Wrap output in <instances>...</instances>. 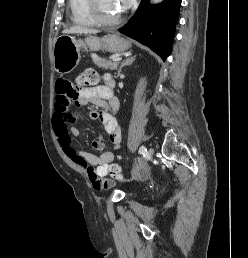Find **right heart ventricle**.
Instances as JSON below:
<instances>
[{
	"label": "right heart ventricle",
	"instance_id": "1",
	"mask_svg": "<svg viewBox=\"0 0 248 258\" xmlns=\"http://www.w3.org/2000/svg\"><path fill=\"white\" fill-rule=\"evenodd\" d=\"M71 19L74 23L83 26H92L94 21L87 10V0H69Z\"/></svg>",
	"mask_w": 248,
	"mask_h": 258
}]
</instances>
